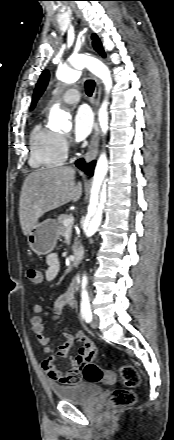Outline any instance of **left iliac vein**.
<instances>
[{
	"mask_svg": "<svg viewBox=\"0 0 174 440\" xmlns=\"http://www.w3.org/2000/svg\"><path fill=\"white\" fill-rule=\"evenodd\" d=\"M99 322H100L99 317H98L97 315H94V316H93V319H92V322H91V326H92L94 329H96V328H98V326H99Z\"/></svg>",
	"mask_w": 174,
	"mask_h": 440,
	"instance_id": "1",
	"label": "left iliac vein"
}]
</instances>
